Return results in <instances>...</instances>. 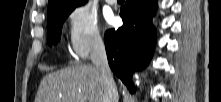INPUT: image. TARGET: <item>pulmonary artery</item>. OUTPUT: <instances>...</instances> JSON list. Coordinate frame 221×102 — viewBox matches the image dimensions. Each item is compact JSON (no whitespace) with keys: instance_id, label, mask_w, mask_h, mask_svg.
Instances as JSON below:
<instances>
[{"instance_id":"e3ab8cb5","label":"pulmonary artery","mask_w":221,"mask_h":102,"mask_svg":"<svg viewBox=\"0 0 221 102\" xmlns=\"http://www.w3.org/2000/svg\"><path fill=\"white\" fill-rule=\"evenodd\" d=\"M106 2L110 5H113L115 4L116 0H106Z\"/></svg>"}]
</instances>
